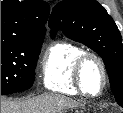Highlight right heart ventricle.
<instances>
[{
	"label": "right heart ventricle",
	"instance_id": "obj_1",
	"mask_svg": "<svg viewBox=\"0 0 123 113\" xmlns=\"http://www.w3.org/2000/svg\"><path fill=\"white\" fill-rule=\"evenodd\" d=\"M82 52L79 46L67 41L51 43L42 61L43 86L50 91L65 94L81 92L74 81L73 67Z\"/></svg>",
	"mask_w": 123,
	"mask_h": 113
}]
</instances>
